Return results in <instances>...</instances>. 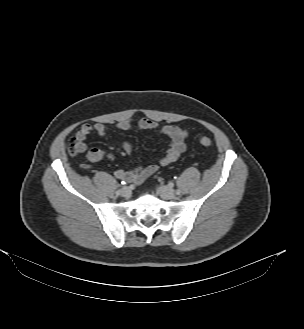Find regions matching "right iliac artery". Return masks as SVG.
Segmentation results:
<instances>
[{
  "label": "right iliac artery",
  "instance_id": "82829eb1",
  "mask_svg": "<svg viewBox=\"0 0 304 329\" xmlns=\"http://www.w3.org/2000/svg\"><path fill=\"white\" fill-rule=\"evenodd\" d=\"M120 193H121V189H118V190L116 191V194H117V195H120Z\"/></svg>",
  "mask_w": 304,
  "mask_h": 329
}]
</instances>
